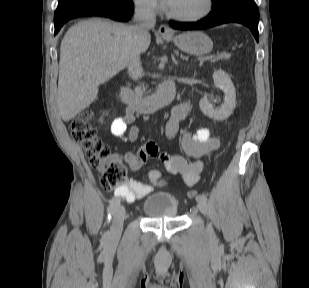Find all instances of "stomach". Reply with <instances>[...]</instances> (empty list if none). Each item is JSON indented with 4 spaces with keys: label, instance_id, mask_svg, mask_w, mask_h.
<instances>
[{
    "label": "stomach",
    "instance_id": "stomach-1",
    "mask_svg": "<svg viewBox=\"0 0 309 288\" xmlns=\"http://www.w3.org/2000/svg\"><path fill=\"white\" fill-rule=\"evenodd\" d=\"M163 38L173 41L180 50L193 55L207 54L213 47L211 39L200 31L186 32L176 37L164 35Z\"/></svg>",
    "mask_w": 309,
    "mask_h": 288
}]
</instances>
